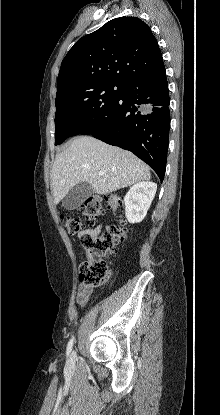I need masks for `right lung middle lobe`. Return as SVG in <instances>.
<instances>
[{"mask_svg": "<svg viewBox=\"0 0 220 415\" xmlns=\"http://www.w3.org/2000/svg\"><path fill=\"white\" fill-rule=\"evenodd\" d=\"M123 86L116 81L82 83L57 94L55 145L70 136L91 134L104 124Z\"/></svg>", "mask_w": 220, "mask_h": 415, "instance_id": "dd1d6c3e", "label": "right lung middle lobe"}]
</instances>
